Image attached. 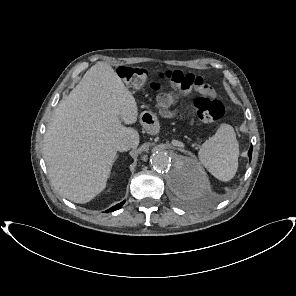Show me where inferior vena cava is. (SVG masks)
Masks as SVG:
<instances>
[{
	"mask_svg": "<svg viewBox=\"0 0 296 296\" xmlns=\"http://www.w3.org/2000/svg\"><path fill=\"white\" fill-rule=\"evenodd\" d=\"M115 147L117 151L123 152L129 150L130 148H133L134 145L131 141L127 139H122L116 143Z\"/></svg>",
	"mask_w": 296,
	"mask_h": 296,
	"instance_id": "inferior-vena-cava-1",
	"label": "inferior vena cava"
}]
</instances>
